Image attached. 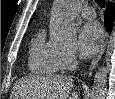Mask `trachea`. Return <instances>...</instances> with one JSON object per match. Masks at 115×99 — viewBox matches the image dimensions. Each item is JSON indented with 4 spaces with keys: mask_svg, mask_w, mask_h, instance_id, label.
<instances>
[{
    "mask_svg": "<svg viewBox=\"0 0 115 99\" xmlns=\"http://www.w3.org/2000/svg\"><path fill=\"white\" fill-rule=\"evenodd\" d=\"M96 2L102 7H105V0H96Z\"/></svg>",
    "mask_w": 115,
    "mask_h": 99,
    "instance_id": "trachea-1",
    "label": "trachea"
}]
</instances>
